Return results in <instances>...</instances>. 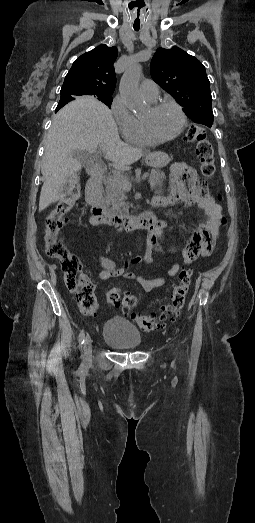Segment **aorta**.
<instances>
[{"mask_svg": "<svg viewBox=\"0 0 255 523\" xmlns=\"http://www.w3.org/2000/svg\"><path fill=\"white\" fill-rule=\"evenodd\" d=\"M142 69L139 64L130 65L123 74L119 91L125 105L135 113L144 110V102L139 92Z\"/></svg>", "mask_w": 255, "mask_h": 523, "instance_id": "762f6f07", "label": "aorta"}]
</instances>
